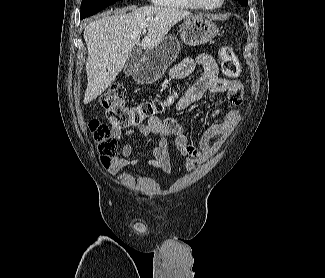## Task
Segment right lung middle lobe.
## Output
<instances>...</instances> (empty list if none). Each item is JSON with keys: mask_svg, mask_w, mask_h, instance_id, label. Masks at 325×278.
I'll use <instances>...</instances> for the list:
<instances>
[{"mask_svg": "<svg viewBox=\"0 0 325 278\" xmlns=\"http://www.w3.org/2000/svg\"><path fill=\"white\" fill-rule=\"evenodd\" d=\"M117 0H82L80 18L89 17Z\"/></svg>", "mask_w": 325, "mask_h": 278, "instance_id": "obj_1", "label": "right lung middle lobe"}]
</instances>
